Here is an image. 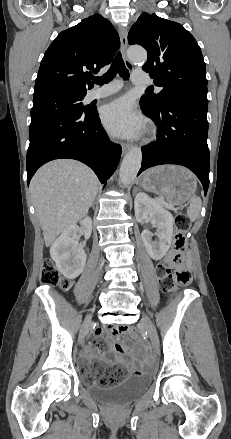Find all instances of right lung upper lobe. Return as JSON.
Instances as JSON below:
<instances>
[{
    "mask_svg": "<svg viewBox=\"0 0 231 439\" xmlns=\"http://www.w3.org/2000/svg\"><path fill=\"white\" fill-rule=\"evenodd\" d=\"M120 46L117 31L99 14L62 31L41 61L34 98L50 93L86 94L91 72L109 64Z\"/></svg>",
    "mask_w": 231,
    "mask_h": 439,
    "instance_id": "obj_1",
    "label": "right lung upper lobe"
}]
</instances>
